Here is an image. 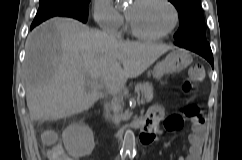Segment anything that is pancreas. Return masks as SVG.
Masks as SVG:
<instances>
[{
    "label": "pancreas",
    "instance_id": "obj_1",
    "mask_svg": "<svg viewBox=\"0 0 242 160\" xmlns=\"http://www.w3.org/2000/svg\"><path fill=\"white\" fill-rule=\"evenodd\" d=\"M138 91H141L146 102H150L153 99V86L150 83H138L135 87ZM121 106L116 105L114 108L113 120L115 123H119L123 118Z\"/></svg>",
    "mask_w": 242,
    "mask_h": 160
}]
</instances>
